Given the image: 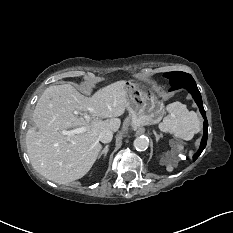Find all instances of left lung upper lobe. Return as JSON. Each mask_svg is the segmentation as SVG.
<instances>
[{"instance_id": "1", "label": "left lung upper lobe", "mask_w": 233, "mask_h": 233, "mask_svg": "<svg viewBox=\"0 0 233 233\" xmlns=\"http://www.w3.org/2000/svg\"><path fill=\"white\" fill-rule=\"evenodd\" d=\"M164 76L170 80L171 85L186 80H193L190 74L181 71L164 73Z\"/></svg>"}]
</instances>
